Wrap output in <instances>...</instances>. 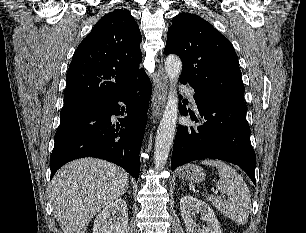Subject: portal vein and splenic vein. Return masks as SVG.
I'll use <instances>...</instances> for the list:
<instances>
[{
	"mask_svg": "<svg viewBox=\"0 0 306 233\" xmlns=\"http://www.w3.org/2000/svg\"><path fill=\"white\" fill-rule=\"evenodd\" d=\"M213 192H214V194H217V193H218V191H217V190H213Z\"/></svg>",
	"mask_w": 306,
	"mask_h": 233,
	"instance_id": "portal-vein-and-splenic-vein-1",
	"label": "portal vein and splenic vein"
}]
</instances>
